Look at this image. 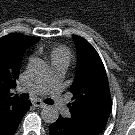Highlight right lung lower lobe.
<instances>
[{
	"label": "right lung lower lobe",
	"instance_id": "obj_1",
	"mask_svg": "<svg viewBox=\"0 0 135 135\" xmlns=\"http://www.w3.org/2000/svg\"><path fill=\"white\" fill-rule=\"evenodd\" d=\"M30 105V101H21L0 108V135H14Z\"/></svg>",
	"mask_w": 135,
	"mask_h": 135
}]
</instances>
